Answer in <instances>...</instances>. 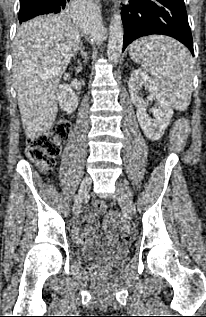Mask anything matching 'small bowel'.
Listing matches in <instances>:
<instances>
[{"label":"small bowel","instance_id":"1","mask_svg":"<svg viewBox=\"0 0 206 317\" xmlns=\"http://www.w3.org/2000/svg\"><path fill=\"white\" fill-rule=\"evenodd\" d=\"M83 221L87 223V229L85 232L81 231L82 221H77L73 227V236L79 242L88 241L95 236L96 221L93 215L89 213L86 214ZM104 230L109 237H113L115 235L112 224L108 222L104 225ZM124 238H128V236H124Z\"/></svg>","mask_w":206,"mask_h":317}]
</instances>
